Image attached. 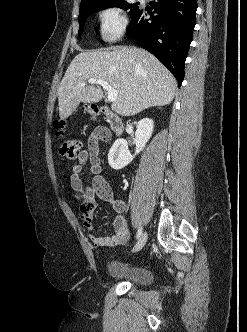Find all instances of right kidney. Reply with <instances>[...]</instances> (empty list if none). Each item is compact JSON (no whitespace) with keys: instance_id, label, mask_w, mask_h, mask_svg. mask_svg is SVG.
Returning <instances> with one entry per match:
<instances>
[{"instance_id":"right-kidney-1","label":"right kidney","mask_w":247,"mask_h":332,"mask_svg":"<svg viewBox=\"0 0 247 332\" xmlns=\"http://www.w3.org/2000/svg\"><path fill=\"white\" fill-rule=\"evenodd\" d=\"M135 132L136 150L132 155L128 150V143L125 139H117L108 153V163L111 168L119 170L127 166L134 157L139 154L152 136L154 123L152 119L144 118L137 123Z\"/></svg>"}]
</instances>
